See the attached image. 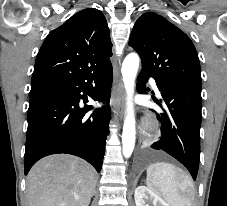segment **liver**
Listing matches in <instances>:
<instances>
[{
    "instance_id": "obj_1",
    "label": "liver",
    "mask_w": 227,
    "mask_h": 206,
    "mask_svg": "<svg viewBox=\"0 0 227 206\" xmlns=\"http://www.w3.org/2000/svg\"><path fill=\"white\" fill-rule=\"evenodd\" d=\"M94 190V171L86 161L52 155L28 173L27 206H89Z\"/></svg>"
}]
</instances>
